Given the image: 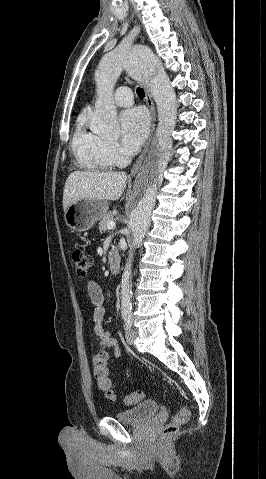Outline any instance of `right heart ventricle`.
I'll return each mask as SVG.
<instances>
[{"label":"right heart ventricle","mask_w":266,"mask_h":479,"mask_svg":"<svg viewBox=\"0 0 266 479\" xmlns=\"http://www.w3.org/2000/svg\"><path fill=\"white\" fill-rule=\"evenodd\" d=\"M103 145L104 139L87 131L84 127V119L81 118L72 140V150L78 165L88 170H110L114 164L105 154Z\"/></svg>","instance_id":"e07e8e85"}]
</instances>
